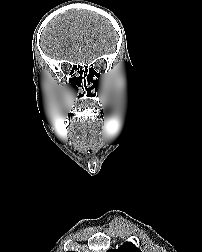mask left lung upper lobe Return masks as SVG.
I'll list each match as a JSON object with an SVG mask.
<instances>
[{
	"instance_id": "1",
	"label": "left lung upper lobe",
	"mask_w": 202,
	"mask_h": 252,
	"mask_svg": "<svg viewBox=\"0 0 202 252\" xmlns=\"http://www.w3.org/2000/svg\"><path fill=\"white\" fill-rule=\"evenodd\" d=\"M107 252H141V250L131 242H125L120 248L110 249Z\"/></svg>"
}]
</instances>
